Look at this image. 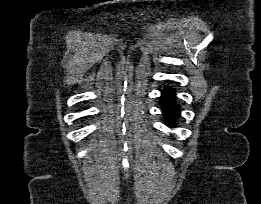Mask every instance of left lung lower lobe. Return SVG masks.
Masks as SVG:
<instances>
[{"mask_svg": "<svg viewBox=\"0 0 261 204\" xmlns=\"http://www.w3.org/2000/svg\"><path fill=\"white\" fill-rule=\"evenodd\" d=\"M160 104L163 106V115L168 126H174L176 119L180 116V107L176 102V94L173 88L166 87L163 90Z\"/></svg>", "mask_w": 261, "mask_h": 204, "instance_id": "0a47b994", "label": "left lung lower lobe"}]
</instances>
